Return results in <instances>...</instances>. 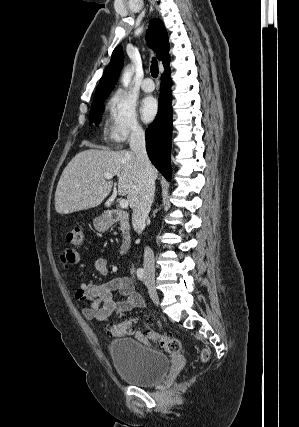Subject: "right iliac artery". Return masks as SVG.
<instances>
[{
  "mask_svg": "<svg viewBox=\"0 0 299 427\" xmlns=\"http://www.w3.org/2000/svg\"><path fill=\"white\" fill-rule=\"evenodd\" d=\"M137 277L138 279L142 280L143 276H144V270L142 268L137 269Z\"/></svg>",
  "mask_w": 299,
  "mask_h": 427,
  "instance_id": "1",
  "label": "right iliac artery"
}]
</instances>
